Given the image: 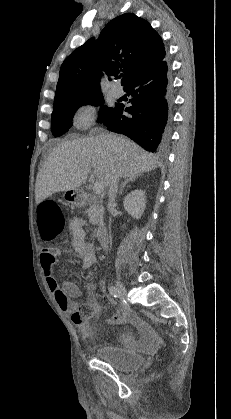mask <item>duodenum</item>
Here are the masks:
<instances>
[{
    "mask_svg": "<svg viewBox=\"0 0 231 419\" xmlns=\"http://www.w3.org/2000/svg\"><path fill=\"white\" fill-rule=\"evenodd\" d=\"M85 200H86V196L84 194L81 193V194L76 195V202L78 204H83L85 202ZM97 235L99 236L100 241L103 244L107 243L106 242V237H105V227L102 223L97 225Z\"/></svg>",
    "mask_w": 231,
    "mask_h": 419,
    "instance_id": "410a0bca",
    "label": "duodenum"
}]
</instances>
